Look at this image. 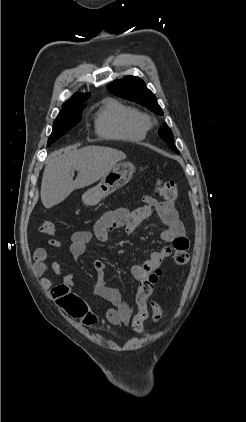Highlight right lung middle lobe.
Returning <instances> with one entry per match:
<instances>
[{"mask_svg":"<svg viewBox=\"0 0 246 422\" xmlns=\"http://www.w3.org/2000/svg\"><path fill=\"white\" fill-rule=\"evenodd\" d=\"M86 105L63 107L53 124V131L48 139L47 147L58 140L81 121V114Z\"/></svg>","mask_w":246,"mask_h":422,"instance_id":"1","label":"right lung middle lobe"}]
</instances>
